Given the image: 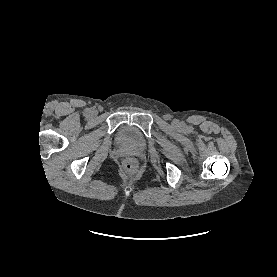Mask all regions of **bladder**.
<instances>
[{
  "mask_svg": "<svg viewBox=\"0 0 277 277\" xmlns=\"http://www.w3.org/2000/svg\"><path fill=\"white\" fill-rule=\"evenodd\" d=\"M118 139L121 143L132 147H141L145 144L143 133L133 125L122 126L118 132Z\"/></svg>",
  "mask_w": 277,
  "mask_h": 277,
  "instance_id": "1",
  "label": "bladder"
}]
</instances>
